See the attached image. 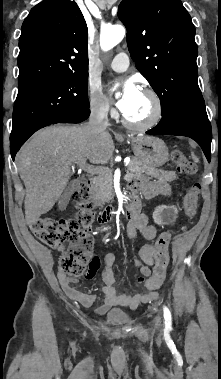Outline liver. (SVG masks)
Wrapping results in <instances>:
<instances>
[{
  "instance_id": "1",
  "label": "liver",
  "mask_w": 221,
  "mask_h": 379,
  "mask_svg": "<svg viewBox=\"0 0 221 379\" xmlns=\"http://www.w3.org/2000/svg\"><path fill=\"white\" fill-rule=\"evenodd\" d=\"M113 140L104 131L92 133L85 126H50L36 132L16 155L25 185V219L28 225L53 208L66 188L72 165L89 160L107 162Z\"/></svg>"
}]
</instances>
